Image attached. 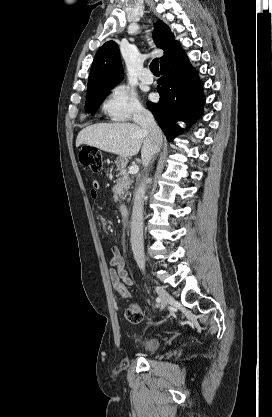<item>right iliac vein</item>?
<instances>
[{
  "label": "right iliac vein",
  "mask_w": 272,
  "mask_h": 417,
  "mask_svg": "<svg viewBox=\"0 0 272 417\" xmlns=\"http://www.w3.org/2000/svg\"><path fill=\"white\" fill-rule=\"evenodd\" d=\"M155 290L158 293L159 298H160V309L163 310L168 305V303L171 301V297L167 293V291L160 286H156Z\"/></svg>",
  "instance_id": "obj_1"
}]
</instances>
